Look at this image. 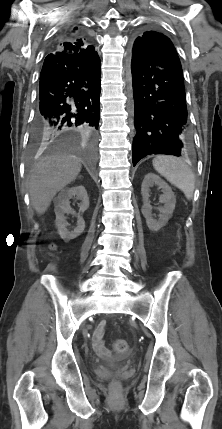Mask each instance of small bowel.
Instances as JSON below:
<instances>
[{
  "label": "small bowel",
  "mask_w": 222,
  "mask_h": 429,
  "mask_svg": "<svg viewBox=\"0 0 222 429\" xmlns=\"http://www.w3.org/2000/svg\"><path fill=\"white\" fill-rule=\"evenodd\" d=\"M104 331H105V322L102 321L98 325V327L96 328L93 334V338H92L93 348L99 356L110 357V351L105 346V343L103 340Z\"/></svg>",
  "instance_id": "1"
}]
</instances>
